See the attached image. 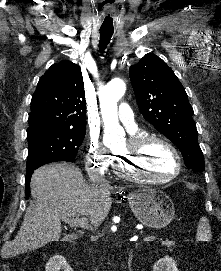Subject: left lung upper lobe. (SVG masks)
<instances>
[{"instance_id": "5c2ea615", "label": "left lung upper lobe", "mask_w": 221, "mask_h": 271, "mask_svg": "<svg viewBox=\"0 0 221 271\" xmlns=\"http://www.w3.org/2000/svg\"><path fill=\"white\" fill-rule=\"evenodd\" d=\"M129 76L144 118L179 148L188 168L204 171L193 109L171 68L149 53L129 68Z\"/></svg>"}]
</instances>
